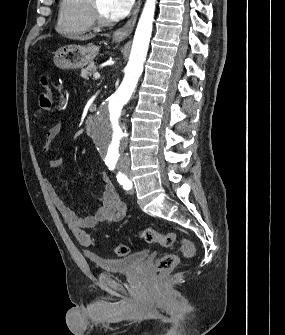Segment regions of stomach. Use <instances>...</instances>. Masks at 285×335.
I'll list each match as a JSON object with an SVG mask.
<instances>
[{
    "label": "stomach",
    "mask_w": 285,
    "mask_h": 335,
    "mask_svg": "<svg viewBox=\"0 0 285 335\" xmlns=\"http://www.w3.org/2000/svg\"><path fill=\"white\" fill-rule=\"evenodd\" d=\"M100 52V46H63L55 52L54 64L61 70H76L93 62Z\"/></svg>",
    "instance_id": "obj_1"
}]
</instances>
